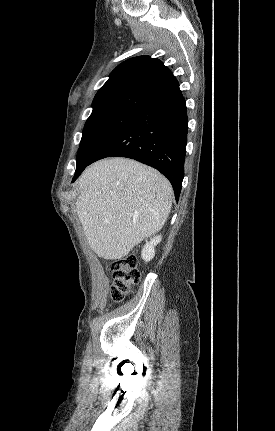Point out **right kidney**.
<instances>
[{
	"label": "right kidney",
	"instance_id": "obj_1",
	"mask_svg": "<svg viewBox=\"0 0 275 431\" xmlns=\"http://www.w3.org/2000/svg\"><path fill=\"white\" fill-rule=\"evenodd\" d=\"M162 237L160 235L152 238L150 242H147L142 249L141 256L145 262H149L155 256V246L160 243Z\"/></svg>",
	"mask_w": 275,
	"mask_h": 431
}]
</instances>
